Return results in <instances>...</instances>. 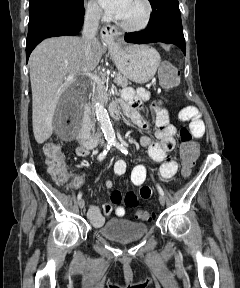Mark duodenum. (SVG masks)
I'll list each match as a JSON object with an SVG mask.
<instances>
[{"label":"duodenum","instance_id":"obj_1","mask_svg":"<svg viewBox=\"0 0 240 288\" xmlns=\"http://www.w3.org/2000/svg\"><path fill=\"white\" fill-rule=\"evenodd\" d=\"M110 113L113 117L118 118L121 114L119 103L114 101L110 104ZM126 114V112L124 111ZM93 130V121L91 117L90 110L88 108H85L84 114H83V127L78 135V139L81 144L89 147L94 148L97 144L96 138L92 134Z\"/></svg>","mask_w":240,"mask_h":288}]
</instances>
